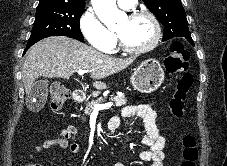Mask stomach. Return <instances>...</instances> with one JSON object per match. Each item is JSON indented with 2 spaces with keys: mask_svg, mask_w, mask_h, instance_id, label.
Instances as JSON below:
<instances>
[{
  "mask_svg": "<svg viewBox=\"0 0 227 166\" xmlns=\"http://www.w3.org/2000/svg\"><path fill=\"white\" fill-rule=\"evenodd\" d=\"M164 70L155 59L142 62L134 71L131 83L141 93H151L157 90L164 80Z\"/></svg>",
  "mask_w": 227,
  "mask_h": 166,
  "instance_id": "obj_1",
  "label": "stomach"
}]
</instances>
